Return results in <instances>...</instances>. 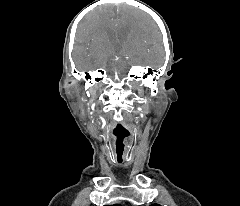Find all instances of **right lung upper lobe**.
Returning <instances> with one entry per match:
<instances>
[{
  "label": "right lung upper lobe",
  "mask_w": 240,
  "mask_h": 206,
  "mask_svg": "<svg viewBox=\"0 0 240 206\" xmlns=\"http://www.w3.org/2000/svg\"><path fill=\"white\" fill-rule=\"evenodd\" d=\"M112 206H120V205H117V204H116V205H112Z\"/></svg>",
  "instance_id": "cb5924a9"
}]
</instances>
